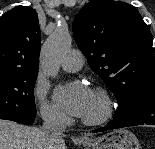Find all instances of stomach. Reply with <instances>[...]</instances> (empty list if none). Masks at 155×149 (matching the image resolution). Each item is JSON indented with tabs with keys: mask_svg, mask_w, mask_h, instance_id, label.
Here are the masks:
<instances>
[{
	"mask_svg": "<svg viewBox=\"0 0 155 149\" xmlns=\"http://www.w3.org/2000/svg\"><path fill=\"white\" fill-rule=\"evenodd\" d=\"M85 149H141L137 137L127 129L110 131L96 139L83 141Z\"/></svg>",
	"mask_w": 155,
	"mask_h": 149,
	"instance_id": "stomach-1",
	"label": "stomach"
}]
</instances>
